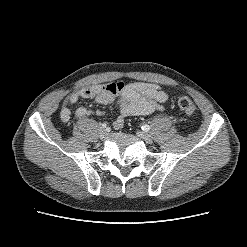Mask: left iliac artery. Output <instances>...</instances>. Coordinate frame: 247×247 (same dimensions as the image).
<instances>
[{"instance_id": "44dca946", "label": "left iliac artery", "mask_w": 247, "mask_h": 247, "mask_svg": "<svg viewBox=\"0 0 247 247\" xmlns=\"http://www.w3.org/2000/svg\"><path fill=\"white\" fill-rule=\"evenodd\" d=\"M142 130L148 132L150 130V126L147 124L142 125Z\"/></svg>"}]
</instances>
